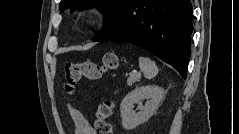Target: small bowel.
Wrapping results in <instances>:
<instances>
[{"label":"small bowel","mask_w":239,"mask_h":134,"mask_svg":"<svg viewBox=\"0 0 239 134\" xmlns=\"http://www.w3.org/2000/svg\"><path fill=\"white\" fill-rule=\"evenodd\" d=\"M69 112L75 127V134H96L84 114L75 107H69Z\"/></svg>","instance_id":"small-bowel-1"}]
</instances>
